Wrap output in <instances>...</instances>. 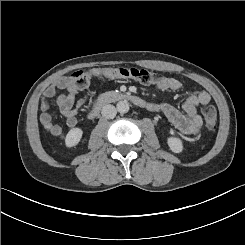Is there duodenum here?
Instances as JSON below:
<instances>
[{
    "instance_id": "1",
    "label": "duodenum",
    "mask_w": 245,
    "mask_h": 245,
    "mask_svg": "<svg viewBox=\"0 0 245 245\" xmlns=\"http://www.w3.org/2000/svg\"><path fill=\"white\" fill-rule=\"evenodd\" d=\"M119 101H128L140 107L147 106L146 102L142 98L134 94L127 92H108L97 98L92 109L89 112V117L94 118L99 113L102 107L110 103Z\"/></svg>"
}]
</instances>
